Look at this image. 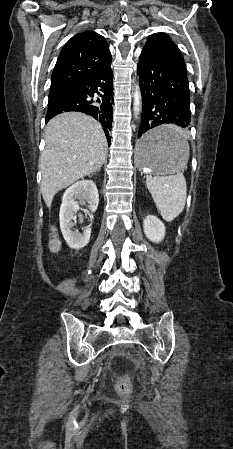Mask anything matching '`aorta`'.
Instances as JSON below:
<instances>
[{
	"mask_svg": "<svg viewBox=\"0 0 233 449\" xmlns=\"http://www.w3.org/2000/svg\"><path fill=\"white\" fill-rule=\"evenodd\" d=\"M139 106H140V90H139V86L136 85L135 92H134V112L136 115H138V113H139V110H140Z\"/></svg>",
	"mask_w": 233,
	"mask_h": 449,
	"instance_id": "1",
	"label": "aorta"
}]
</instances>
